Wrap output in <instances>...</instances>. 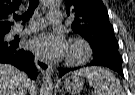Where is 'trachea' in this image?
Wrapping results in <instances>:
<instances>
[{
	"label": "trachea",
	"instance_id": "obj_1",
	"mask_svg": "<svg viewBox=\"0 0 135 95\" xmlns=\"http://www.w3.org/2000/svg\"><path fill=\"white\" fill-rule=\"evenodd\" d=\"M39 0H30L28 10L21 16L16 15L14 18L15 20H23L25 23L33 14L35 8L38 6Z\"/></svg>",
	"mask_w": 135,
	"mask_h": 95
}]
</instances>
